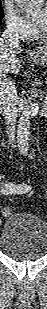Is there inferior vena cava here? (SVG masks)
<instances>
[{
  "instance_id": "obj_1",
  "label": "inferior vena cava",
  "mask_w": 47,
  "mask_h": 309,
  "mask_svg": "<svg viewBox=\"0 0 47 309\" xmlns=\"http://www.w3.org/2000/svg\"><path fill=\"white\" fill-rule=\"evenodd\" d=\"M2 40L18 47L20 44L19 28L13 23H8L2 34ZM18 101L19 97L14 83L4 77L0 86L1 114L10 127L15 125Z\"/></svg>"
}]
</instances>
